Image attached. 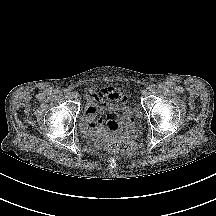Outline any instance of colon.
I'll use <instances>...</instances> for the list:
<instances>
[{
	"label": "colon",
	"instance_id": "1",
	"mask_svg": "<svg viewBox=\"0 0 216 216\" xmlns=\"http://www.w3.org/2000/svg\"><path fill=\"white\" fill-rule=\"evenodd\" d=\"M139 111L133 109L129 111V116L126 117V123L129 124L134 121V117L138 116ZM134 148V143L124 138H113L107 141L106 149L109 152H129Z\"/></svg>",
	"mask_w": 216,
	"mask_h": 216
}]
</instances>
